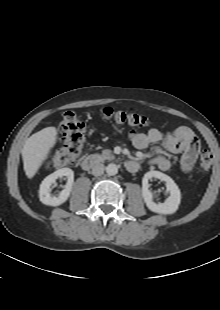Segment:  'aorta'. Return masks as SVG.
Returning <instances> with one entry per match:
<instances>
[{"label": "aorta", "mask_w": 220, "mask_h": 310, "mask_svg": "<svg viewBox=\"0 0 220 310\" xmlns=\"http://www.w3.org/2000/svg\"><path fill=\"white\" fill-rule=\"evenodd\" d=\"M106 173L109 175V176H114L118 173V166L114 163H110L107 165L106 167Z\"/></svg>", "instance_id": "aorta-1"}]
</instances>
